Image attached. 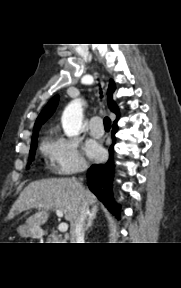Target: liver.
<instances>
[{
    "label": "liver",
    "instance_id": "6515ba94",
    "mask_svg": "<svg viewBox=\"0 0 181 288\" xmlns=\"http://www.w3.org/2000/svg\"><path fill=\"white\" fill-rule=\"evenodd\" d=\"M83 200L87 205L97 208L96 196L75 179L50 178L34 181L20 193L8 214V219H13L22 211L38 208V212L30 216L26 224L40 230V226L47 222L50 211L55 208L63 212L65 219L72 226L79 216Z\"/></svg>",
    "mask_w": 181,
    "mask_h": 288
}]
</instances>
